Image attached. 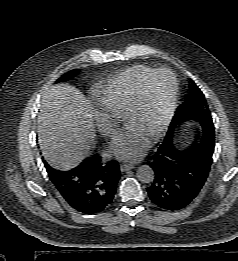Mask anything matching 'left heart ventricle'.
<instances>
[{
	"label": "left heart ventricle",
	"instance_id": "1",
	"mask_svg": "<svg viewBox=\"0 0 238 261\" xmlns=\"http://www.w3.org/2000/svg\"><path fill=\"white\" fill-rule=\"evenodd\" d=\"M173 88L174 82L170 74L163 73L154 77L146 87L141 109L129 119V124L152 135L164 118Z\"/></svg>",
	"mask_w": 238,
	"mask_h": 261
}]
</instances>
